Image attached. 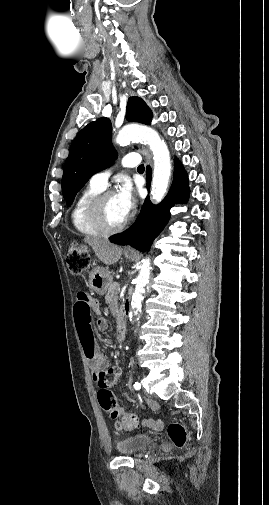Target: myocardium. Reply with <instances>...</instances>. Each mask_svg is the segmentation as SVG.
Wrapping results in <instances>:
<instances>
[{"instance_id": "f54148a6", "label": "myocardium", "mask_w": 269, "mask_h": 505, "mask_svg": "<svg viewBox=\"0 0 269 505\" xmlns=\"http://www.w3.org/2000/svg\"><path fill=\"white\" fill-rule=\"evenodd\" d=\"M114 195L112 190L100 192L90 203L88 208V216L92 224L103 234H115L122 231L128 224L126 218L122 223L116 226H111L107 223L104 216V203L106 199Z\"/></svg>"}]
</instances>
